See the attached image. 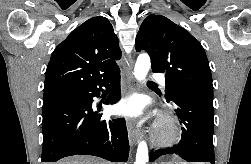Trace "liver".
Segmentation results:
<instances>
[{
  "label": "liver",
  "instance_id": "6515ba94",
  "mask_svg": "<svg viewBox=\"0 0 251 164\" xmlns=\"http://www.w3.org/2000/svg\"><path fill=\"white\" fill-rule=\"evenodd\" d=\"M56 164H108V163L95 157L74 156L65 158Z\"/></svg>",
  "mask_w": 251,
  "mask_h": 164
}]
</instances>
